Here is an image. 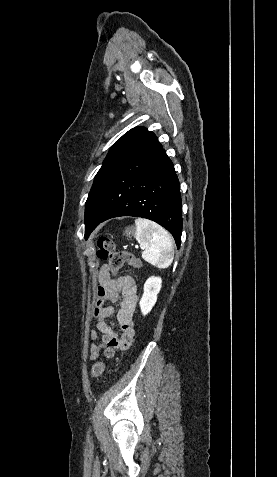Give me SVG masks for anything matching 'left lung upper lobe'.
<instances>
[{
    "label": "left lung upper lobe",
    "instance_id": "left-lung-upper-lobe-1",
    "mask_svg": "<svg viewBox=\"0 0 277 477\" xmlns=\"http://www.w3.org/2000/svg\"><path fill=\"white\" fill-rule=\"evenodd\" d=\"M155 137L144 127H135L125 133L110 149L102 167L95 176L85 204V223L91 218L98 199L106 183L115 171L128 160L137 150Z\"/></svg>",
    "mask_w": 277,
    "mask_h": 477
}]
</instances>
